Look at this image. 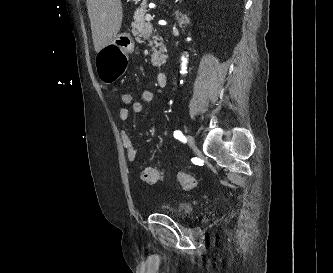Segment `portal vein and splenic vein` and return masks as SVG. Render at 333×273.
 Returning a JSON list of instances; mask_svg holds the SVG:
<instances>
[{
    "mask_svg": "<svg viewBox=\"0 0 333 273\" xmlns=\"http://www.w3.org/2000/svg\"><path fill=\"white\" fill-rule=\"evenodd\" d=\"M145 19H146V21L150 22L151 19H152V17H151L150 14H147V15L145 16Z\"/></svg>",
    "mask_w": 333,
    "mask_h": 273,
    "instance_id": "1",
    "label": "portal vein and splenic vein"
}]
</instances>
